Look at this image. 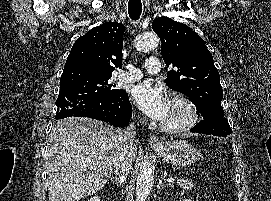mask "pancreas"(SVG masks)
Returning a JSON list of instances; mask_svg holds the SVG:
<instances>
[{
  "mask_svg": "<svg viewBox=\"0 0 271 201\" xmlns=\"http://www.w3.org/2000/svg\"><path fill=\"white\" fill-rule=\"evenodd\" d=\"M176 184L178 186H180L182 188V190L193 191V188H194L193 182L189 181V180L180 179V180H177ZM172 185H174V184H172Z\"/></svg>",
  "mask_w": 271,
  "mask_h": 201,
  "instance_id": "obj_1",
  "label": "pancreas"
}]
</instances>
